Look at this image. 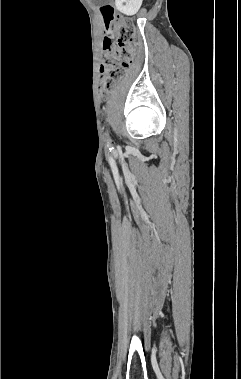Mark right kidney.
Instances as JSON below:
<instances>
[{"label": "right kidney", "instance_id": "obj_1", "mask_svg": "<svg viewBox=\"0 0 241 379\" xmlns=\"http://www.w3.org/2000/svg\"><path fill=\"white\" fill-rule=\"evenodd\" d=\"M143 0H115V6L121 13L131 16L138 12Z\"/></svg>", "mask_w": 241, "mask_h": 379}]
</instances>
